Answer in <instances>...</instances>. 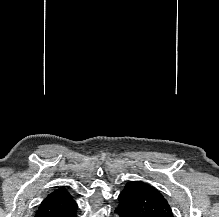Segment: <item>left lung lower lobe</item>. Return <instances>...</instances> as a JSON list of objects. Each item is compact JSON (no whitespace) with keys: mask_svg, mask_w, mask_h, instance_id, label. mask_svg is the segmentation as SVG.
I'll list each match as a JSON object with an SVG mask.
<instances>
[{"mask_svg":"<svg viewBox=\"0 0 219 217\" xmlns=\"http://www.w3.org/2000/svg\"><path fill=\"white\" fill-rule=\"evenodd\" d=\"M115 212H116L117 214H119L120 217H128V216L126 215V213L124 212V210H122L121 208H118V207H117V209L115 210Z\"/></svg>","mask_w":219,"mask_h":217,"instance_id":"left-lung-lower-lobe-1","label":"left lung lower lobe"}]
</instances>
